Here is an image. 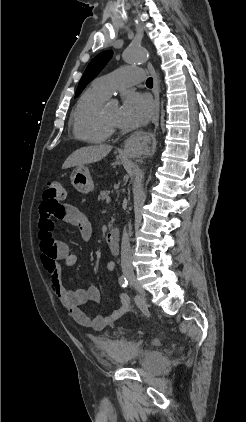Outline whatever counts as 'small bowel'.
<instances>
[{
  "mask_svg": "<svg viewBox=\"0 0 246 422\" xmlns=\"http://www.w3.org/2000/svg\"><path fill=\"white\" fill-rule=\"evenodd\" d=\"M56 219L63 220L78 228L82 239L85 241H88L92 235L90 221L77 207L62 205L56 209H50L42 202L40 206L39 243L41 259L48 275L50 287L74 321L96 331L103 330L129 312L131 308L130 299L127 294H120L121 307L109 315L89 316L81 309V306L88 302H100L101 291L94 285L73 290H68L63 285L59 261H64L67 266L72 267L77 263L78 256L71 251L66 243L55 239ZM106 268L109 272H113L115 264L109 261Z\"/></svg>",
  "mask_w": 246,
  "mask_h": 422,
  "instance_id": "1",
  "label": "small bowel"
}]
</instances>
